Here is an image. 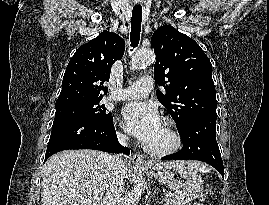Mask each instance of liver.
<instances>
[{"label":"liver","instance_id":"liver-1","mask_svg":"<svg viewBox=\"0 0 269 205\" xmlns=\"http://www.w3.org/2000/svg\"><path fill=\"white\" fill-rule=\"evenodd\" d=\"M96 150H69L50 157L42 177V205H100L110 179L109 157ZM203 171L199 162H188ZM130 175L125 165L124 178Z\"/></svg>","mask_w":269,"mask_h":205}]
</instances>
